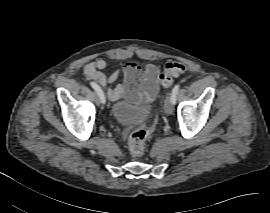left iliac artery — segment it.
<instances>
[{"instance_id":"44dca946","label":"left iliac artery","mask_w":270,"mask_h":213,"mask_svg":"<svg viewBox=\"0 0 270 213\" xmlns=\"http://www.w3.org/2000/svg\"><path fill=\"white\" fill-rule=\"evenodd\" d=\"M179 88H180V85L177 84V85H175L174 88L172 89L171 99H172L173 104H175V102H176V96H177V94H178Z\"/></svg>"}]
</instances>
